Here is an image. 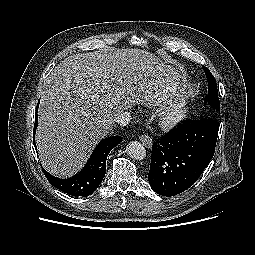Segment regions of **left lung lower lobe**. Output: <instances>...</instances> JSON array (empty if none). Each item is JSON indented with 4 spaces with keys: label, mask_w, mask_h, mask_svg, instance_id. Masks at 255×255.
Instances as JSON below:
<instances>
[{
    "label": "left lung lower lobe",
    "mask_w": 255,
    "mask_h": 255,
    "mask_svg": "<svg viewBox=\"0 0 255 255\" xmlns=\"http://www.w3.org/2000/svg\"><path fill=\"white\" fill-rule=\"evenodd\" d=\"M219 122L184 123L152 146L148 181L153 191L177 195L191 187L212 159Z\"/></svg>",
    "instance_id": "0a47b994"
}]
</instances>
